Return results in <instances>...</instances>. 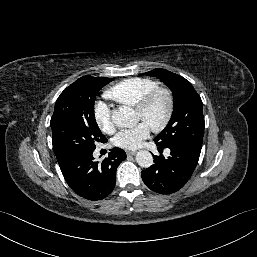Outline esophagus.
Returning <instances> with one entry per match:
<instances>
[{"label":"esophagus","instance_id":"esophagus-1","mask_svg":"<svg viewBox=\"0 0 257 257\" xmlns=\"http://www.w3.org/2000/svg\"><path fill=\"white\" fill-rule=\"evenodd\" d=\"M126 154H127L128 156H133V155L136 154V152H135V151H126Z\"/></svg>","mask_w":257,"mask_h":257}]
</instances>
